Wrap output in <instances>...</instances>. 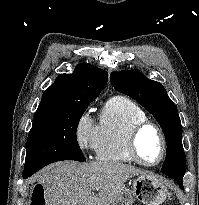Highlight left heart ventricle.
I'll return each mask as SVG.
<instances>
[{"instance_id": "b2bd125f", "label": "left heart ventricle", "mask_w": 199, "mask_h": 205, "mask_svg": "<svg viewBox=\"0 0 199 205\" xmlns=\"http://www.w3.org/2000/svg\"><path fill=\"white\" fill-rule=\"evenodd\" d=\"M137 146L141 158L147 162H155L161 155V140L158 133L152 128L141 132Z\"/></svg>"}]
</instances>
